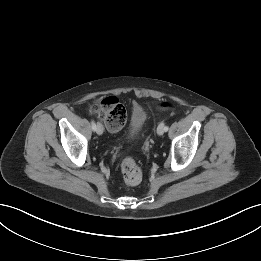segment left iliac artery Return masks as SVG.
Wrapping results in <instances>:
<instances>
[{"instance_id":"obj_1","label":"left iliac artery","mask_w":261,"mask_h":261,"mask_svg":"<svg viewBox=\"0 0 261 261\" xmlns=\"http://www.w3.org/2000/svg\"><path fill=\"white\" fill-rule=\"evenodd\" d=\"M169 127L168 126H165V132L168 131Z\"/></svg>"}]
</instances>
